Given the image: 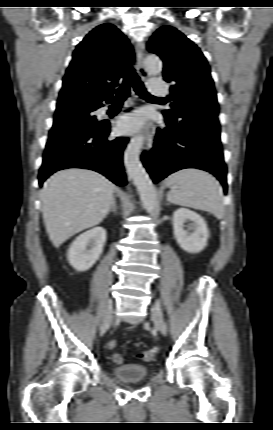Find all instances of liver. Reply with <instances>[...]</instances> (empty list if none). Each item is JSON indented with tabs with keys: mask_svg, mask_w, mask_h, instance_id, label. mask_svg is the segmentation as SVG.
I'll use <instances>...</instances> for the list:
<instances>
[{
	"mask_svg": "<svg viewBox=\"0 0 273 430\" xmlns=\"http://www.w3.org/2000/svg\"><path fill=\"white\" fill-rule=\"evenodd\" d=\"M115 185L96 171L68 168L54 173L41 190L43 220L58 248L71 236L98 225L108 213Z\"/></svg>",
	"mask_w": 273,
	"mask_h": 430,
	"instance_id": "6515ba94",
	"label": "liver"
}]
</instances>
